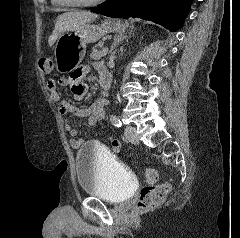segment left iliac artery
Here are the masks:
<instances>
[{"instance_id":"1","label":"left iliac artery","mask_w":240,"mask_h":238,"mask_svg":"<svg viewBox=\"0 0 240 238\" xmlns=\"http://www.w3.org/2000/svg\"><path fill=\"white\" fill-rule=\"evenodd\" d=\"M110 120L114 126L122 127V122L116 115H112Z\"/></svg>"}]
</instances>
